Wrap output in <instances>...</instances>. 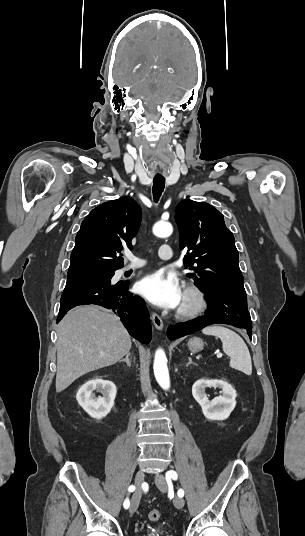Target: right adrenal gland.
Wrapping results in <instances>:
<instances>
[{
  "label": "right adrenal gland",
  "mask_w": 305,
  "mask_h": 536,
  "mask_svg": "<svg viewBox=\"0 0 305 536\" xmlns=\"http://www.w3.org/2000/svg\"><path fill=\"white\" fill-rule=\"evenodd\" d=\"M129 356H131L130 352H129V354H127L126 358H124V360H120V362H126L127 366H129V368H131Z\"/></svg>",
  "instance_id": "2a0ac1e0"
}]
</instances>
